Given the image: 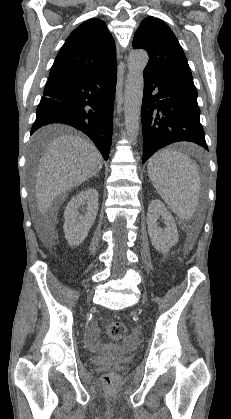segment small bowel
Wrapping results in <instances>:
<instances>
[{
  "instance_id": "small-bowel-1",
  "label": "small bowel",
  "mask_w": 231,
  "mask_h": 419,
  "mask_svg": "<svg viewBox=\"0 0 231 419\" xmlns=\"http://www.w3.org/2000/svg\"><path fill=\"white\" fill-rule=\"evenodd\" d=\"M98 332H99V328H98L97 323H92L88 327V329L86 331V344H87V347L89 349H92V350H97L98 349V341H97ZM130 341L135 342L136 338L134 336H132L130 338Z\"/></svg>"
}]
</instances>
